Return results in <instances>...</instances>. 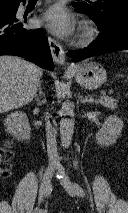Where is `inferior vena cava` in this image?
Segmentation results:
<instances>
[{"label": "inferior vena cava", "instance_id": "1", "mask_svg": "<svg viewBox=\"0 0 128 213\" xmlns=\"http://www.w3.org/2000/svg\"><path fill=\"white\" fill-rule=\"evenodd\" d=\"M46 137H47V153L50 166H60L59 156L57 153V143L55 131L49 121L46 122Z\"/></svg>", "mask_w": 128, "mask_h": 213}]
</instances>
